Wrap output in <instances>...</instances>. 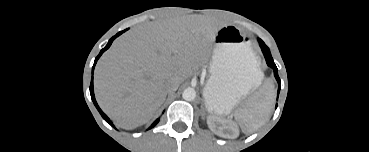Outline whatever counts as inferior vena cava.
I'll list each match as a JSON object with an SVG mask.
<instances>
[{"label":"inferior vena cava","instance_id":"obj_1","mask_svg":"<svg viewBox=\"0 0 369 152\" xmlns=\"http://www.w3.org/2000/svg\"><path fill=\"white\" fill-rule=\"evenodd\" d=\"M178 82L174 80H169L166 84L167 92L176 91L178 89Z\"/></svg>","mask_w":369,"mask_h":152}]
</instances>
